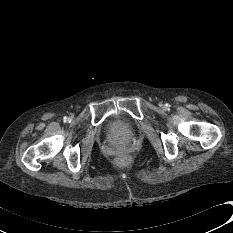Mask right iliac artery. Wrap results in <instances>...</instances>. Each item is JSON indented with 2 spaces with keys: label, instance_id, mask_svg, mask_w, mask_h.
<instances>
[{
  "label": "right iliac artery",
  "instance_id": "obj_1",
  "mask_svg": "<svg viewBox=\"0 0 233 233\" xmlns=\"http://www.w3.org/2000/svg\"><path fill=\"white\" fill-rule=\"evenodd\" d=\"M63 120H64V122H66L67 121V117H64Z\"/></svg>",
  "mask_w": 233,
  "mask_h": 233
}]
</instances>
